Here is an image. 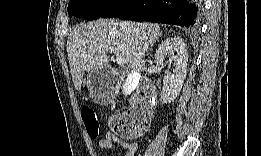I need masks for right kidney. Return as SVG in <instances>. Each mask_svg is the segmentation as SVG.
<instances>
[{
	"instance_id": "obj_1",
	"label": "right kidney",
	"mask_w": 261,
	"mask_h": 156,
	"mask_svg": "<svg viewBox=\"0 0 261 156\" xmlns=\"http://www.w3.org/2000/svg\"><path fill=\"white\" fill-rule=\"evenodd\" d=\"M175 62L173 73L167 74L163 79V88L161 91V101L171 103L179 95L187 74L188 52L186 45L179 37H171L164 40L155 53L157 63H165V57L172 55Z\"/></svg>"
}]
</instances>
